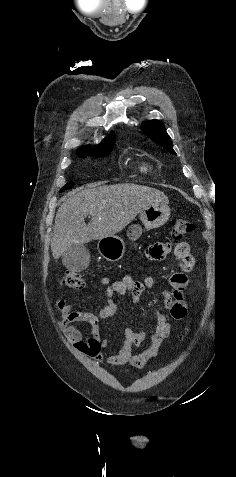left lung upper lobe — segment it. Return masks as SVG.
I'll return each mask as SVG.
<instances>
[{"label": "left lung upper lobe", "mask_w": 236, "mask_h": 477, "mask_svg": "<svg viewBox=\"0 0 236 477\" xmlns=\"http://www.w3.org/2000/svg\"><path fill=\"white\" fill-rule=\"evenodd\" d=\"M141 127L152 141L167 149L171 154H176L172 148L173 143L162 122L159 120H150L143 122Z\"/></svg>", "instance_id": "obj_1"}]
</instances>
